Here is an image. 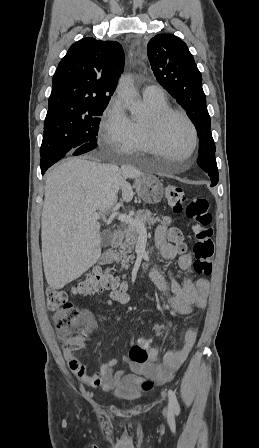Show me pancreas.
I'll use <instances>...</instances> for the list:
<instances>
[{
    "mask_svg": "<svg viewBox=\"0 0 259 448\" xmlns=\"http://www.w3.org/2000/svg\"><path fill=\"white\" fill-rule=\"evenodd\" d=\"M155 216L156 214H151L149 210H138L135 220L136 222L147 224L148 228H151V226H154V224L159 222L158 218H155ZM125 234L124 244H121L119 252H116L115 260L121 262L124 270H128L129 262L130 260H134V256H127V254H130V252L134 250L137 238H139V232L136 230L135 226H127Z\"/></svg>",
    "mask_w": 259,
    "mask_h": 448,
    "instance_id": "cf45deb5",
    "label": "pancreas"
}]
</instances>
